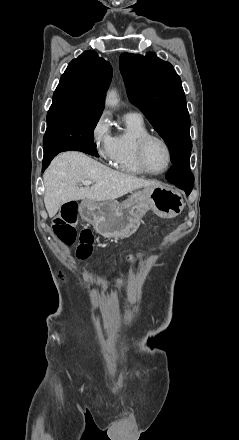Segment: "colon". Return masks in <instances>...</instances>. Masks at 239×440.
I'll return each instance as SVG.
<instances>
[{"instance_id": "colon-1", "label": "colon", "mask_w": 239, "mask_h": 440, "mask_svg": "<svg viewBox=\"0 0 239 440\" xmlns=\"http://www.w3.org/2000/svg\"><path fill=\"white\" fill-rule=\"evenodd\" d=\"M77 205L74 202L65 204L58 215L51 220V227L59 240L71 245L78 241L76 256L79 260L88 259L93 250L94 236L92 232L83 227L79 231L76 229ZM137 256H129L128 262L133 263Z\"/></svg>"}]
</instances>
